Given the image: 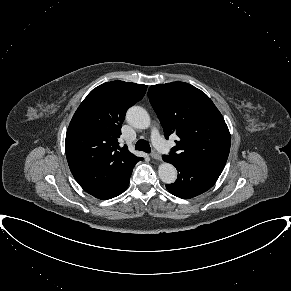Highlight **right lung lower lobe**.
Wrapping results in <instances>:
<instances>
[{"label": "right lung lower lobe", "instance_id": "right-lung-lower-lobe-1", "mask_svg": "<svg viewBox=\"0 0 291 291\" xmlns=\"http://www.w3.org/2000/svg\"><path fill=\"white\" fill-rule=\"evenodd\" d=\"M128 184H129V183H128ZM128 184L124 187L123 191L126 190V188L128 187ZM123 191H122V192H123ZM122 192H121V193H122ZM121 193H120V194H121Z\"/></svg>", "mask_w": 291, "mask_h": 291}]
</instances>
